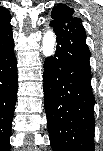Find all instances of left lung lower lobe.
Wrapping results in <instances>:
<instances>
[{
    "label": "left lung lower lobe",
    "mask_w": 103,
    "mask_h": 151,
    "mask_svg": "<svg viewBox=\"0 0 103 151\" xmlns=\"http://www.w3.org/2000/svg\"><path fill=\"white\" fill-rule=\"evenodd\" d=\"M54 31L56 53L44 63V104L51 147L53 151H94L95 98L85 29L81 23H73Z\"/></svg>",
    "instance_id": "obj_1"
}]
</instances>
